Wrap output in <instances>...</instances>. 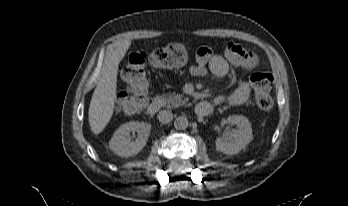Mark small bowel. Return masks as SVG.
I'll list each match as a JSON object with an SVG mask.
<instances>
[{
    "mask_svg": "<svg viewBox=\"0 0 348 206\" xmlns=\"http://www.w3.org/2000/svg\"><path fill=\"white\" fill-rule=\"evenodd\" d=\"M196 63L190 67V73L204 75L208 70L218 78L224 77L229 72L230 64L238 67L252 69L257 65L255 54L247 51L237 43H229L224 55L213 54L210 47H201ZM250 95V86L247 81L241 80L237 87L229 94H221L215 98V104L229 103L241 105L245 103Z\"/></svg>",
    "mask_w": 348,
    "mask_h": 206,
    "instance_id": "small-bowel-1",
    "label": "small bowel"
}]
</instances>
